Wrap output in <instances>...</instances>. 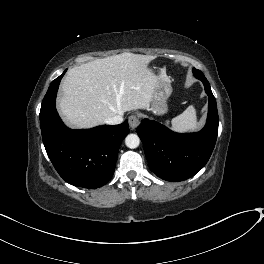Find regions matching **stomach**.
Here are the masks:
<instances>
[{
  "instance_id": "1",
  "label": "stomach",
  "mask_w": 264,
  "mask_h": 264,
  "mask_svg": "<svg viewBox=\"0 0 264 264\" xmlns=\"http://www.w3.org/2000/svg\"><path fill=\"white\" fill-rule=\"evenodd\" d=\"M172 93L171 81L159 77L152 93L149 110L155 115H163L168 111L167 100Z\"/></svg>"
}]
</instances>
